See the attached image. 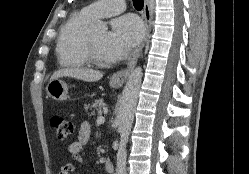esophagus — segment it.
Masks as SVG:
<instances>
[{
    "mask_svg": "<svg viewBox=\"0 0 249 174\" xmlns=\"http://www.w3.org/2000/svg\"><path fill=\"white\" fill-rule=\"evenodd\" d=\"M152 11L149 5V0H144V19H145V24H146V35L144 38L143 43L134 50V52L130 55L128 62H127V67L121 71H118L112 75V82L116 85H122L132 72L133 68L135 67L138 58L140 57V54L142 52V49L145 46V43L147 42L150 32H151V26H152Z\"/></svg>",
    "mask_w": 249,
    "mask_h": 174,
    "instance_id": "obj_1",
    "label": "esophagus"
}]
</instances>
